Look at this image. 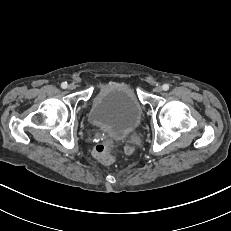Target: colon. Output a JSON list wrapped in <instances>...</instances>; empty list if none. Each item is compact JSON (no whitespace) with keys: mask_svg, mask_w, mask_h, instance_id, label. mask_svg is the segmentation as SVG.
Returning <instances> with one entry per match:
<instances>
[{"mask_svg":"<svg viewBox=\"0 0 231 231\" xmlns=\"http://www.w3.org/2000/svg\"><path fill=\"white\" fill-rule=\"evenodd\" d=\"M132 147H126V152L131 153ZM115 155V142L112 138L103 137L93 149V156L102 163H109Z\"/></svg>","mask_w":231,"mask_h":231,"instance_id":"1","label":"colon"}]
</instances>
